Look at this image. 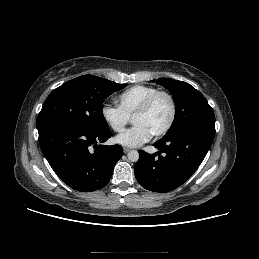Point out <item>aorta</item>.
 Returning a JSON list of instances; mask_svg holds the SVG:
<instances>
[{
	"mask_svg": "<svg viewBox=\"0 0 259 259\" xmlns=\"http://www.w3.org/2000/svg\"><path fill=\"white\" fill-rule=\"evenodd\" d=\"M127 156H128L129 161H131V162H137L139 159V153L136 150L129 151Z\"/></svg>",
	"mask_w": 259,
	"mask_h": 259,
	"instance_id": "aorta-1",
	"label": "aorta"
}]
</instances>
